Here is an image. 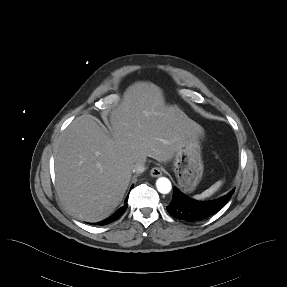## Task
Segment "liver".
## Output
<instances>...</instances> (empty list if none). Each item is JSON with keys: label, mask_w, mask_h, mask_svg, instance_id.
I'll list each match as a JSON object with an SVG mask.
<instances>
[{"label": "liver", "mask_w": 287, "mask_h": 287, "mask_svg": "<svg viewBox=\"0 0 287 287\" xmlns=\"http://www.w3.org/2000/svg\"><path fill=\"white\" fill-rule=\"evenodd\" d=\"M110 122L109 132L92 115L77 117L54 151L59 197L72 214L87 222L105 219L120 204L135 163L147 157L171 160L185 125L204 135L200 125L177 106L166 105L159 87L148 82L127 88Z\"/></svg>", "instance_id": "1"}]
</instances>
